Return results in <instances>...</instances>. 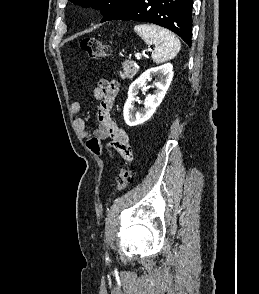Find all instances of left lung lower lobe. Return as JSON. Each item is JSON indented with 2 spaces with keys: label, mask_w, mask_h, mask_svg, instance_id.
Here are the masks:
<instances>
[{
  "label": "left lung lower lobe",
  "mask_w": 259,
  "mask_h": 294,
  "mask_svg": "<svg viewBox=\"0 0 259 294\" xmlns=\"http://www.w3.org/2000/svg\"><path fill=\"white\" fill-rule=\"evenodd\" d=\"M192 5L193 0H132L105 21L134 20L154 23L173 31L191 46Z\"/></svg>",
  "instance_id": "obj_1"
}]
</instances>
